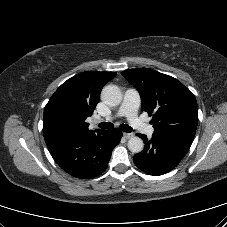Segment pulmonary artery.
I'll return each instance as SVG.
<instances>
[{
  "label": "pulmonary artery",
  "mask_w": 227,
  "mask_h": 227,
  "mask_svg": "<svg viewBox=\"0 0 227 227\" xmlns=\"http://www.w3.org/2000/svg\"><path fill=\"white\" fill-rule=\"evenodd\" d=\"M139 104V93L135 89H127L124 94L122 104L119 107L115 117L125 116L135 129L143 134H146L147 136H152L154 133V128L138 117Z\"/></svg>",
  "instance_id": "obj_1"
}]
</instances>
